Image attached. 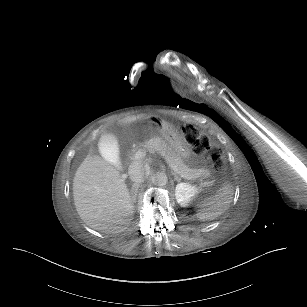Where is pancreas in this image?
Instances as JSON below:
<instances>
[{
  "label": "pancreas",
  "mask_w": 307,
  "mask_h": 307,
  "mask_svg": "<svg viewBox=\"0 0 307 307\" xmlns=\"http://www.w3.org/2000/svg\"><path fill=\"white\" fill-rule=\"evenodd\" d=\"M148 149L151 153H158L162 156H164L165 159H169V151H168V147L167 144L165 142V140L161 139V138H153L151 140L148 141L147 143ZM176 165H180L178 160H174ZM190 178L191 179H196L198 178H206L209 175L208 170L206 169H198L191 173H189Z\"/></svg>",
  "instance_id": "pancreas-1"
}]
</instances>
